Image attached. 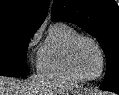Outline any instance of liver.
I'll return each instance as SVG.
<instances>
[{"mask_svg": "<svg viewBox=\"0 0 119 95\" xmlns=\"http://www.w3.org/2000/svg\"><path fill=\"white\" fill-rule=\"evenodd\" d=\"M75 88L72 83L50 81L42 75L25 81L0 76V95H68Z\"/></svg>", "mask_w": 119, "mask_h": 95, "instance_id": "6515ba94", "label": "liver"}]
</instances>
